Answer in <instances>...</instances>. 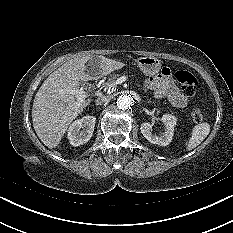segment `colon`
<instances>
[{
	"mask_svg": "<svg viewBox=\"0 0 233 233\" xmlns=\"http://www.w3.org/2000/svg\"><path fill=\"white\" fill-rule=\"evenodd\" d=\"M174 77L187 96L193 97L195 95L197 90V79L192 73L186 70H178L174 73ZM191 117L194 122H201L203 119L201 109L198 107L192 108Z\"/></svg>",
	"mask_w": 233,
	"mask_h": 233,
	"instance_id": "5ec220e1",
	"label": "colon"
}]
</instances>
